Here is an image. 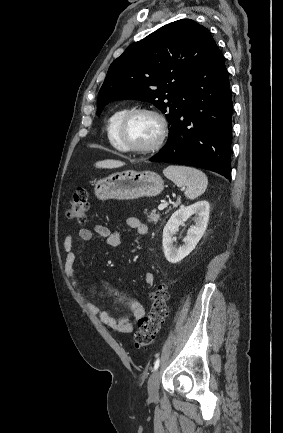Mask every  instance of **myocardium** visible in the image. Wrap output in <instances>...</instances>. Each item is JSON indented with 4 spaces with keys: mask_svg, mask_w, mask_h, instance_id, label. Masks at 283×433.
I'll list each match as a JSON object with an SVG mask.
<instances>
[{
    "mask_svg": "<svg viewBox=\"0 0 283 433\" xmlns=\"http://www.w3.org/2000/svg\"><path fill=\"white\" fill-rule=\"evenodd\" d=\"M143 113L151 114L159 120L161 124V132L158 140L151 147L137 148L126 141L124 134H125L126 127L128 126L129 122L132 120V118L138 114H143ZM168 132H169V122L167 117L161 111H159L156 108L148 107V106L136 107V108L129 109L119 121L117 126V131H116V138L123 151L134 153L137 155H142V156H153L162 150L166 142Z\"/></svg>",
    "mask_w": 283,
    "mask_h": 433,
    "instance_id": "1",
    "label": "myocardium"
}]
</instances>
